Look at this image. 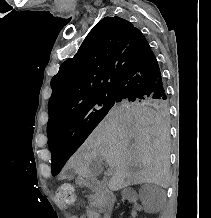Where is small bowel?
I'll return each instance as SVG.
<instances>
[{"label":"small bowel","mask_w":211,"mask_h":218,"mask_svg":"<svg viewBox=\"0 0 211 218\" xmlns=\"http://www.w3.org/2000/svg\"><path fill=\"white\" fill-rule=\"evenodd\" d=\"M86 218H99V215L95 210L89 209L86 212Z\"/></svg>","instance_id":"c3829d8e"}]
</instances>
